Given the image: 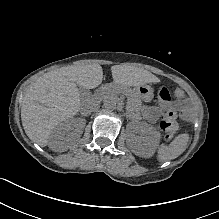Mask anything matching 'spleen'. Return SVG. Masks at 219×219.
<instances>
[{
	"label": "spleen",
	"instance_id": "3e777b00",
	"mask_svg": "<svg viewBox=\"0 0 219 219\" xmlns=\"http://www.w3.org/2000/svg\"><path fill=\"white\" fill-rule=\"evenodd\" d=\"M187 141V134H182L177 137L169 147H163L162 151L160 152L161 159L163 161L172 160L181 155L186 149Z\"/></svg>",
	"mask_w": 219,
	"mask_h": 219
}]
</instances>
